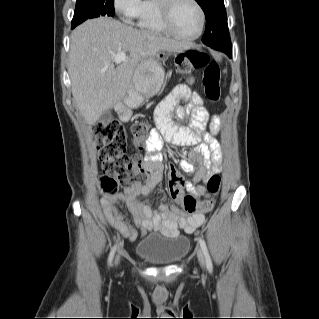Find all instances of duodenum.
I'll return each mask as SVG.
<instances>
[{
    "label": "duodenum",
    "instance_id": "duodenum-1",
    "mask_svg": "<svg viewBox=\"0 0 319 319\" xmlns=\"http://www.w3.org/2000/svg\"><path fill=\"white\" fill-rule=\"evenodd\" d=\"M132 105L127 100L126 102H121L117 106V114L122 121L128 120L130 117V110Z\"/></svg>",
    "mask_w": 319,
    "mask_h": 319
}]
</instances>
